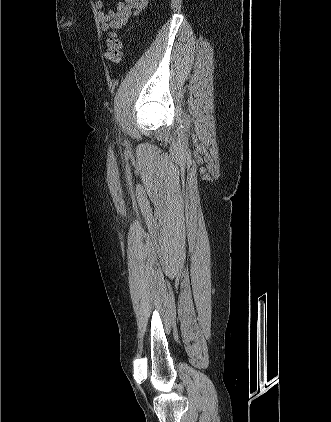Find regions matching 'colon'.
<instances>
[{"label": "colon", "mask_w": 331, "mask_h": 422, "mask_svg": "<svg viewBox=\"0 0 331 422\" xmlns=\"http://www.w3.org/2000/svg\"><path fill=\"white\" fill-rule=\"evenodd\" d=\"M123 44L120 37L115 33H110L106 41V57L113 63L122 60Z\"/></svg>", "instance_id": "obj_1"}]
</instances>
